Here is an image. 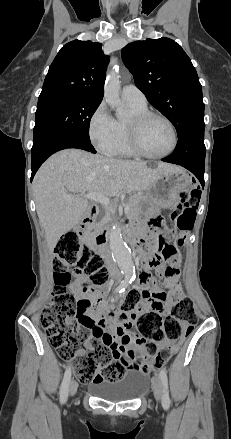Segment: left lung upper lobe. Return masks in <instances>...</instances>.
I'll list each match as a JSON object with an SVG mask.
<instances>
[{
  "label": "left lung upper lobe",
  "mask_w": 231,
  "mask_h": 439,
  "mask_svg": "<svg viewBox=\"0 0 231 439\" xmlns=\"http://www.w3.org/2000/svg\"><path fill=\"white\" fill-rule=\"evenodd\" d=\"M122 59L149 103L166 116L178 137L204 124L202 87L190 58L175 41L162 37L126 45Z\"/></svg>",
  "instance_id": "obj_1"
}]
</instances>
